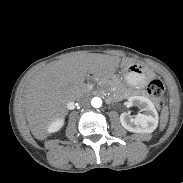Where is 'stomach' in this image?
<instances>
[{"label":"stomach","mask_w":183,"mask_h":183,"mask_svg":"<svg viewBox=\"0 0 183 183\" xmlns=\"http://www.w3.org/2000/svg\"><path fill=\"white\" fill-rule=\"evenodd\" d=\"M152 72L141 64L125 66V83L130 87L143 88L152 77Z\"/></svg>","instance_id":"0dacf381"}]
</instances>
